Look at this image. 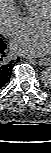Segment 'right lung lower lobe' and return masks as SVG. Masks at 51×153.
I'll return each mask as SVG.
<instances>
[{
  "mask_svg": "<svg viewBox=\"0 0 51 153\" xmlns=\"http://www.w3.org/2000/svg\"><path fill=\"white\" fill-rule=\"evenodd\" d=\"M6 44L0 39V88L3 87L10 79L12 68L15 62L8 61L5 53ZM19 61V58L17 59Z\"/></svg>",
  "mask_w": 51,
  "mask_h": 153,
  "instance_id": "98d812e1",
  "label": "right lung lower lobe"
}]
</instances>
